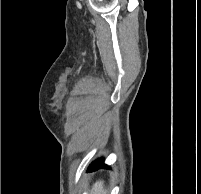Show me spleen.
Returning <instances> with one entry per match:
<instances>
[{
  "instance_id": "obj_1",
  "label": "spleen",
  "mask_w": 201,
  "mask_h": 194,
  "mask_svg": "<svg viewBox=\"0 0 201 194\" xmlns=\"http://www.w3.org/2000/svg\"><path fill=\"white\" fill-rule=\"evenodd\" d=\"M90 194H107L106 191L104 190L103 182L102 181L96 182L93 185Z\"/></svg>"
}]
</instances>
